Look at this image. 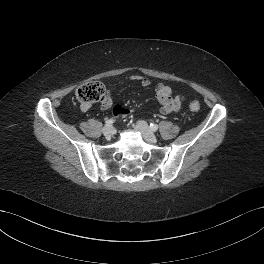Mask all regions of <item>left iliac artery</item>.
<instances>
[{
    "mask_svg": "<svg viewBox=\"0 0 264 264\" xmlns=\"http://www.w3.org/2000/svg\"><path fill=\"white\" fill-rule=\"evenodd\" d=\"M150 129H151L152 131H156V130L158 129V125H157V124H153V123H151V124H150Z\"/></svg>",
    "mask_w": 264,
    "mask_h": 264,
    "instance_id": "left-iliac-artery-1",
    "label": "left iliac artery"
}]
</instances>
